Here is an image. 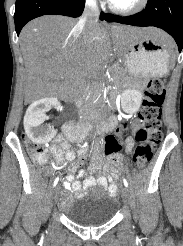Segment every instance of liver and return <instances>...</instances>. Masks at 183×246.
Here are the masks:
<instances>
[{
    "label": "liver",
    "instance_id": "1",
    "mask_svg": "<svg viewBox=\"0 0 183 246\" xmlns=\"http://www.w3.org/2000/svg\"><path fill=\"white\" fill-rule=\"evenodd\" d=\"M77 23V19L45 15L22 29L19 39L25 65L26 102L67 96L88 72L109 58L111 41L118 55H122L126 42L141 37L172 44L169 35L155 28L116 26L108 33L99 23L90 31Z\"/></svg>",
    "mask_w": 183,
    "mask_h": 246
}]
</instances>
